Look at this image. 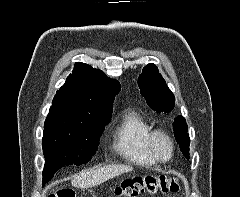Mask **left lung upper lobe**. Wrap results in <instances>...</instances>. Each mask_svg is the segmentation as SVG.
<instances>
[{"mask_svg":"<svg viewBox=\"0 0 240 197\" xmlns=\"http://www.w3.org/2000/svg\"><path fill=\"white\" fill-rule=\"evenodd\" d=\"M141 95L146 99L149 107L158 113L170 112L175 105V97L165 80L154 64L146 65L138 78ZM174 135L179 147L186 158H189L190 138L187 133L188 126L182 116L174 119Z\"/></svg>","mask_w":240,"mask_h":197,"instance_id":"5c2ea615","label":"left lung upper lobe"}]
</instances>
